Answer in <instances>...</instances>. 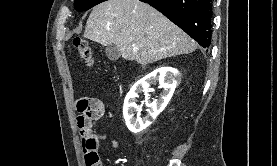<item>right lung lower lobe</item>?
Segmentation results:
<instances>
[{"label":"right lung lower lobe","instance_id":"obj_1","mask_svg":"<svg viewBox=\"0 0 277 166\" xmlns=\"http://www.w3.org/2000/svg\"><path fill=\"white\" fill-rule=\"evenodd\" d=\"M163 13L203 48L211 44L213 0H140Z\"/></svg>","mask_w":277,"mask_h":166}]
</instances>
